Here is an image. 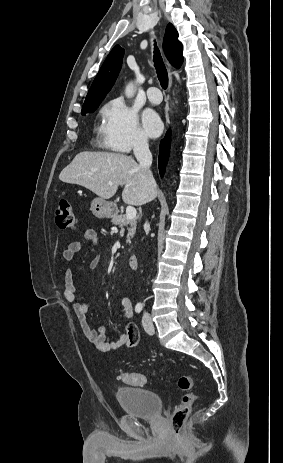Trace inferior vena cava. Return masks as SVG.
Here are the masks:
<instances>
[{"mask_svg": "<svg viewBox=\"0 0 283 463\" xmlns=\"http://www.w3.org/2000/svg\"><path fill=\"white\" fill-rule=\"evenodd\" d=\"M134 155L144 173L145 184L152 186L155 183L150 167L152 165V154L149 150L148 140L145 137H137L133 145ZM147 224H145L146 226Z\"/></svg>", "mask_w": 283, "mask_h": 463, "instance_id": "602c4592", "label": "inferior vena cava"}]
</instances>
